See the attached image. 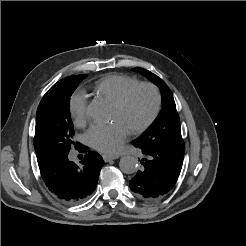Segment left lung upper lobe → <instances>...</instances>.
<instances>
[{
	"label": "left lung upper lobe",
	"instance_id": "obj_1",
	"mask_svg": "<svg viewBox=\"0 0 246 246\" xmlns=\"http://www.w3.org/2000/svg\"><path fill=\"white\" fill-rule=\"evenodd\" d=\"M134 70L146 76L159 87L162 95V109L150 128L133 143L140 146H161L184 151L185 144L181 136L180 119L170 88L152 72L143 68Z\"/></svg>",
	"mask_w": 246,
	"mask_h": 246
}]
</instances>
